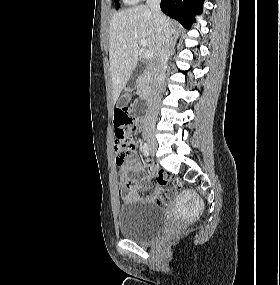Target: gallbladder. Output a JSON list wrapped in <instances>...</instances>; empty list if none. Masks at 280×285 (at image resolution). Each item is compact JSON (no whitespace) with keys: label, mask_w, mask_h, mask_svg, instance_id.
Returning a JSON list of instances; mask_svg holds the SVG:
<instances>
[{"label":"gallbladder","mask_w":280,"mask_h":285,"mask_svg":"<svg viewBox=\"0 0 280 285\" xmlns=\"http://www.w3.org/2000/svg\"><path fill=\"white\" fill-rule=\"evenodd\" d=\"M129 100H130V95L128 93H125L119 99V101L117 103V106L119 108H122V107H124V106H126L128 104Z\"/></svg>","instance_id":"bac80fb5"}]
</instances>
